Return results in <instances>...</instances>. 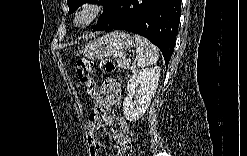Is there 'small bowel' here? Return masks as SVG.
Wrapping results in <instances>:
<instances>
[{"label":"small bowel","instance_id":"1","mask_svg":"<svg viewBox=\"0 0 247 156\" xmlns=\"http://www.w3.org/2000/svg\"><path fill=\"white\" fill-rule=\"evenodd\" d=\"M101 94V95H100ZM99 101H102V106H96L95 112L89 115L88 122L85 125V133L89 145L91 155H98L103 152L102 141L98 136L97 130L103 124H115L117 131L114 139L118 149V155H126L130 151V135L129 125L127 121L117 114L109 115L108 111L111 108L118 107L122 88L114 79L107 78L101 86Z\"/></svg>","mask_w":247,"mask_h":156}]
</instances>
